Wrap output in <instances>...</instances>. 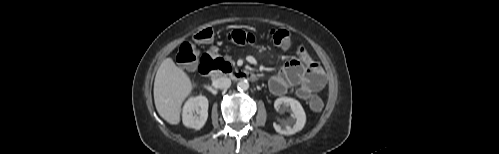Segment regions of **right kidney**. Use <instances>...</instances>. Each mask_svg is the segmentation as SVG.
Masks as SVG:
<instances>
[{"label": "right kidney", "instance_id": "1", "mask_svg": "<svg viewBox=\"0 0 499 154\" xmlns=\"http://www.w3.org/2000/svg\"><path fill=\"white\" fill-rule=\"evenodd\" d=\"M208 118V99L205 96L190 98L183 107V124L186 127L201 129Z\"/></svg>", "mask_w": 499, "mask_h": 154}]
</instances>
